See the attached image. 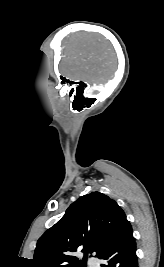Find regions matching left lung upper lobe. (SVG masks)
Returning <instances> with one entry per match:
<instances>
[{"label":"left lung upper lobe","instance_id":"left-lung-upper-lobe-1","mask_svg":"<svg viewBox=\"0 0 164 267\" xmlns=\"http://www.w3.org/2000/svg\"><path fill=\"white\" fill-rule=\"evenodd\" d=\"M124 211L108 196L80 197L37 241L32 267H86L88 254L100 257L127 222ZM84 253L83 260L72 252Z\"/></svg>","mask_w":164,"mask_h":267}]
</instances>
